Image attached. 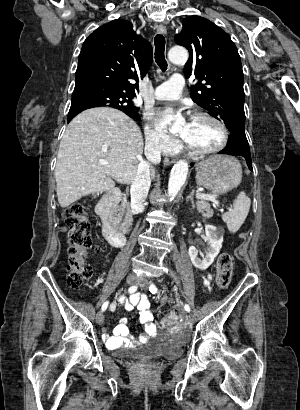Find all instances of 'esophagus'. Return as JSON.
Segmentation results:
<instances>
[{
  "instance_id": "obj_1",
  "label": "esophagus",
  "mask_w": 300,
  "mask_h": 410,
  "mask_svg": "<svg viewBox=\"0 0 300 410\" xmlns=\"http://www.w3.org/2000/svg\"><path fill=\"white\" fill-rule=\"evenodd\" d=\"M156 30H157V33H158V34H163V35H166V34H167L166 27L163 26V25H158L157 28H156ZM164 162H165L166 165H171V164H173V163L175 162V160H174V159L166 158Z\"/></svg>"
}]
</instances>
